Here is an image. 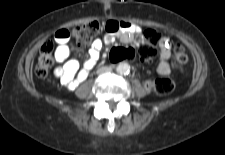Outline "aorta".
Instances as JSON below:
<instances>
[{"mask_svg": "<svg viewBox=\"0 0 225 155\" xmlns=\"http://www.w3.org/2000/svg\"><path fill=\"white\" fill-rule=\"evenodd\" d=\"M116 70L121 75H126L130 71V66L126 62H121L117 65Z\"/></svg>", "mask_w": 225, "mask_h": 155, "instance_id": "1", "label": "aorta"}]
</instances>
